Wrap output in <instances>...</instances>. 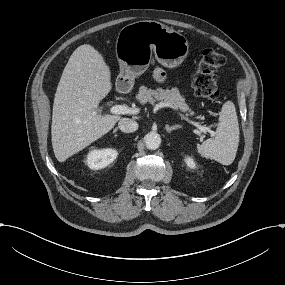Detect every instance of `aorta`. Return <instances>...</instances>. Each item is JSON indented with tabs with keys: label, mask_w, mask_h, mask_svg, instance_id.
<instances>
[{
	"label": "aorta",
	"mask_w": 285,
	"mask_h": 285,
	"mask_svg": "<svg viewBox=\"0 0 285 285\" xmlns=\"http://www.w3.org/2000/svg\"><path fill=\"white\" fill-rule=\"evenodd\" d=\"M145 145L150 150H155L159 148L161 144V137L156 132H150L144 137Z\"/></svg>",
	"instance_id": "aorta-1"
}]
</instances>
